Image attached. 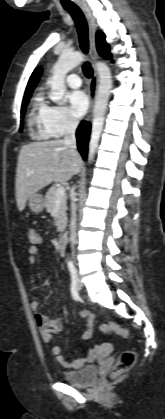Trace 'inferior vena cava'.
<instances>
[{
  "instance_id": "obj_1",
  "label": "inferior vena cava",
  "mask_w": 165,
  "mask_h": 419,
  "mask_svg": "<svg viewBox=\"0 0 165 419\" xmlns=\"http://www.w3.org/2000/svg\"><path fill=\"white\" fill-rule=\"evenodd\" d=\"M78 120L70 117L67 121L66 131L64 136V143L68 146L73 152H77L76 150V137L75 132L78 127ZM75 187L72 188V193L74 194ZM76 209L77 205L75 202L74 195L71 197V221H70V241L72 247V254L74 256V244L76 243Z\"/></svg>"
}]
</instances>
